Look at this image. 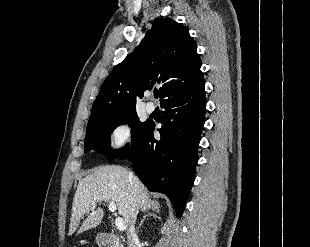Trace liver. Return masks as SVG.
<instances>
[{"label":"liver","instance_id":"6515ba94","mask_svg":"<svg viewBox=\"0 0 310 247\" xmlns=\"http://www.w3.org/2000/svg\"><path fill=\"white\" fill-rule=\"evenodd\" d=\"M102 201L116 204L126 228L131 226L135 210L138 213L152 206L159 208V204L149 198L148 190L137 177L135 182L130 181L126 168L117 165L101 166L79 181L72 205L69 235L76 231L84 215L87 217L77 234L101 223L104 212L102 208H96L95 204Z\"/></svg>","mask_w":310,"mask_h":247}]
</instances>
